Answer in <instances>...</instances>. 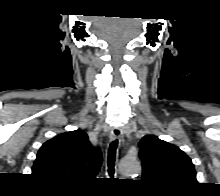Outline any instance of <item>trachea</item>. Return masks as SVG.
Instances as JSON below:
<instances>
[{"label": "trachea", "mask_w": 220, "mask_h": 196, "mask_svg": "<svg viewBox=\"0 0 220 196\" xmlns=\"http://www.w3.org/2000/svg\"><path fill=\"white\" fill-rule=\"evenodd\" d=\"M117 147H118V139L112 141L108 149L107 166H108V173L110 176H113L115 171L114 167H115V157H116Z\"/></svg>", "instance_id": "1"}]
</instances>
